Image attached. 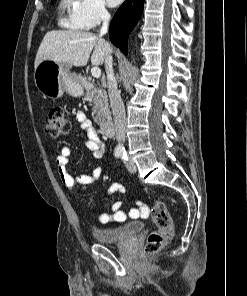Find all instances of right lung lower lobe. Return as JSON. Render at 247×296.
<instances>
[{"mask_svg": "<svg viewBox=\"0 0 247 296\" xmlns=\"http://www.w3.org/2000/svg\"><path fill=\"white\" fill-rule=\"evenodd\" d=\"M143 4L144 0H126L110 24V40L124 54L127 53V38L141 17Z\"/></svg>", "mask_w": 247, "mask_h": 296, "instance_id": "obj_1", "label": "right lung lower lobe"}]
</instances>
